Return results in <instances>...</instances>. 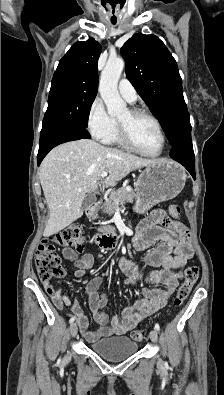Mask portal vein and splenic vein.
<instances>
[{
	"instance_id": "obj_1",
	"label": "portal vein and splenic vein",
	"mask_w": 224,
	"mask_h": 395,
	"mask_svg": "<svg viewBox=\"0 0 224 395\" xmlns=\"http://www.w3.org/2000/svg\"><path fill=\"white\" fill-rule=\"evenodd\" d=\"M107 176V172H103L102 174H101V177L102 178H105Z\"/></svg>"
}]
</instances>
